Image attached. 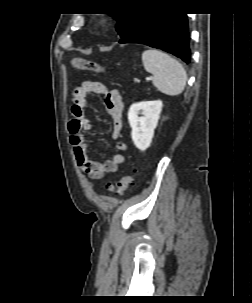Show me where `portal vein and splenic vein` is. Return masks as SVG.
I'll list each match as a JSON object with an SVG mask.
<instances>
[{
  "instance_id": "portal-vein-and-splenic-vein-1",
  "label": "portal vein and splenic vein",
  "mask_w": 252,
  "mask_h": 303,
  "mask_svg": "<svg viewBox=\"0 0 252 303\" xmlns=\"http://www.w3.org/2000/svg\"><path fill=\"white\" fill-rule=\"evenodd\" d=\"M146 80L149 81V80H151V78H150V77H147Z\"/></svg>"
}]
</instances>
